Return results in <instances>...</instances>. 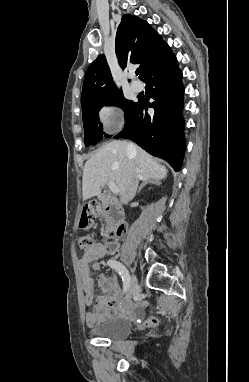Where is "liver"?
Wrapping results in <instances>:
<instances>
[{
    "label": "liver",
    "mask_w": 249,
    "mask_h": 382,
    "mask_svg": "<svg viewBox=\"0 0 249 382\" xmlns=\"http://www.w3.org/2000/svg\"><path fill=\"white\" fill-rule=\"evenodd\" d=\"M126 141L113 140L105 143L86 161L83 170L82 196L90 199L101 193V189L113 182L122 196L133 177L139 180H161L167 169L160 165L142 148L133 145L129 149Z\"/></svg>",
    "instance_id": "liver-1"
}]
</instances>
